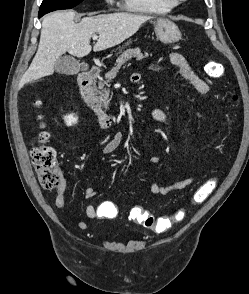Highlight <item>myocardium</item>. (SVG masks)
I'll list each match as a JSON object with an SVG mask.
<instances>
[{
    "mask_svg": "<svg viewBox=\"0 0 249 294\" xmlns=\"http://www.w3.org/2000/svg\"><path fill=\"white\" fill-rule=\"evenodd\" d=\"M172 4H174V5H177V4H179V3H181V2H183V1H186V0H169Z\"/></svg>",
    "mask_w": 249,
    "mask_h": 294,
    "instance_id": "1",
    "label": "myocardium"
}]
</instances>
